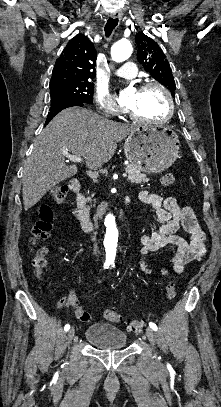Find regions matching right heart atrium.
Masks as SVG:
<instances>
[{
    "mask_svg": "<svg viewBox=\"0 0 221 407\" xmlns=\"http://www.w3.org/2000/svg\"><path fill=\"white\" fill-rule=\"evenodd\" d=\"M96 108L99 112L116 116L121 113L122 108L115 102L112 96L103 90H98L94 96Z\"/></svg>",
    "mask_w": 221,
    "mask_h": 407,
    "instance_id": "1",
    "label": "right heart atrium"
}]
</instances>
